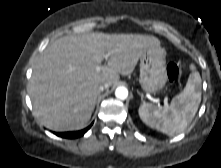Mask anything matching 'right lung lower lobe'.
I'll return each mask as SVG.
<instances>
[{
	"label": "right lung lower lobe",
	"mask_w": 221,
	"mask_h": 168,
	"mask_svg": "<svg viewBox=\"0 0 221 168\" xmlns=\"http://www.w3.org/2000/svg\"><path fill=\"white\" fill-rule=\"evenodd\" d=\"M91 126L92 124L89 127L80 131L56 133V135L63 137V138H68V139L77 138V137L83 136L90 129Z\"/></svg>",
	"instance_id": "right-lung-lower-lobe-1"
}]
</instances>
